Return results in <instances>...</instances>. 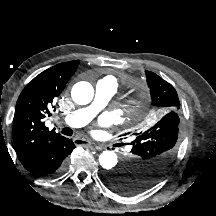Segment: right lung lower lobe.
Here are the masks:
<instances>
[{
	"label": "right lung lower lobe",
	"mask_w": 216,
	"mask_h": 216,
	"mask_svg": "<svg viewBox=\"0 0 216 216\" xmlns=\"http://www.w3.org/2000/svg\"><path fill=\"white\" fill-rule=\"evenodd\" d=\"M75 148L74 143L60 136L49 142L23 166L32 174L40 177H51L62 171L67 157Z\"/></svg>",
	"instance_id": "obj_1"
}]
</instances>
